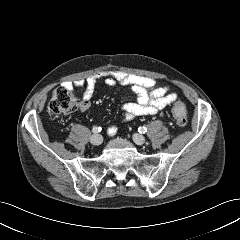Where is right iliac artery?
I'll use <instances>...</instances> for the list:
<instances>
[{
  "instance_id": "right-iliac-artery-1",
  "label": "right iliac artery",
  "mask_w": 240,
  "mask_h": 240,
  "mask_svg": "<svg viewBox=\"0 0 240 240\" xmlns=\"http://www.w3.org/2000/svg\"><path fill=\"white\" fill-rule=\"evenodd\" d=\"M100 131H101V127L95 126V127H93V129H92V132H93V133H98V132H100Z\"/></svg>"
}]
</instances>
